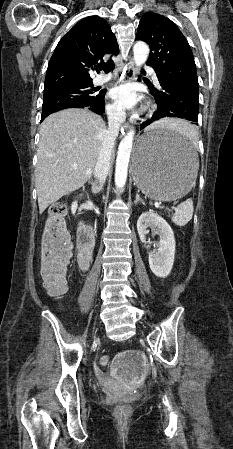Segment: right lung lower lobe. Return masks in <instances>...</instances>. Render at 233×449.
Here are the masks:
<instances>
[{
	"mask_svg": "<svg viewBox=\"0 0 233 449\" xmlns=\"http://www.w3.org/2000/svg\"><path fill=\"white\" fill-rule=\"evenodd\" d=\"M104 96H105V92H101L100 97L92 104H81V103H77V104H72L69 106H66L62 109H66V108H88L89 110L97 113V114H102L104 112V105H105V101H104ZM59 109V110H62ZM58 111V110H56ZM55 111L52 112H48V113H42V117H41V121H43L48 115H50L51 113H53Z\"/></svg>",
	"mask_w": 233,
	"mask_h": 449,
	"instance_id": "1",
	"label": "right lung lower lobe"
}]
</instances>
